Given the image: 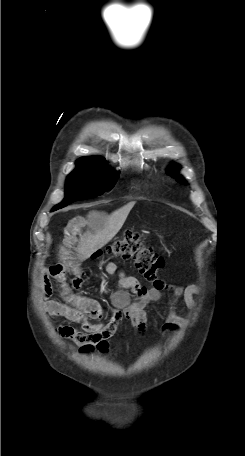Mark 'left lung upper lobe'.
I'll list each match as a JSON object with an SVG mask.
<instances>
[{
	"label": "left lung upper lobe",
	"mask_w": 245,
	"mask_h": 456,
	"mask_svg": "<svg viewBox=\"0 0 245 456\" xmlns=\"http://www.w3.org/2000/svg\"><path fill=\"white\" fill-rule=\"evenodd\" d=\"M180 167L178 165H172L167 169V174L175 178L179 183L186 184L184 179L178 174Z\"/></svg>",
	"instance_id": "left-lung-upper-lobe-1"
}]
</instances>
